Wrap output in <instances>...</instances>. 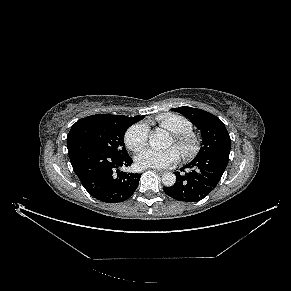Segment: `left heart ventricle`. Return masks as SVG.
I'll list each match as a JSON object with an SVG mask.
<instances>
[{
  "instance_id": "b2bd125f",
  "label": "left heart ventricle",
  "mask_w": 291,
  "mask_h": 291,
  "mask_svg": "<svg viewBox=\"0 0 291 291\" xmlns=\"http://www.w3.org/2000/svg\"><path fill=\"white\" fill-rule=\"evenodd\" d=\"M171 143H174V139H172V142Z\"/></svg>"
}]
</instances>
